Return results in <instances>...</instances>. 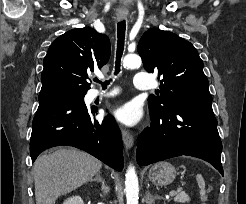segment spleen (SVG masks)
I'll return each instance as SVG.
<instances>
[{"label": "spleen", "instance_id": "spleen-1", "mask_svg": "<svg viewBox=\"0 0 246 204\" xmlns=\"http://www.w3.org/2000/svg\"><path fill=\"white\" fill-rule=\"evenodd\" d=\"M196 180H197L198 186L200 188V194L205 195V181H204L203 176L201 174H197Z\"/></svg>", "mask_w": 246, "mask_h": 204}]
</instances>
